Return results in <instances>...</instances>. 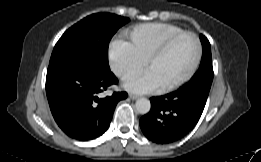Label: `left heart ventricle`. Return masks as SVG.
Masks as SVG:
<instances>
[{
  "label": "left heart ventricle",
  "mask_w": 261,
  "mask_h": 162,
  "mask_svg": "<svg viewBox=\"0 0 261 162\" xmlns=\"http://www.w3.org/2000/svg\"><path fill=\"white\" fill-rule=\"evenodd\" d=\"M196 56V42L191 36L178 39L170 49L153 60L150 69L162 86L171 84L183 77L191 68Z\"/></svg>",
  "instance_id": "1"
}]
</instances>
